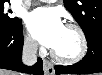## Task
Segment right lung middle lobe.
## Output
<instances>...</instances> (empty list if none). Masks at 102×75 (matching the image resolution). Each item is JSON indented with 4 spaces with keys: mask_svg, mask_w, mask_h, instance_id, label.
Here are the masks:
<instances>
[{
    "mask_svg": "<svg viewBox=\"0 0 102 75\" xmlns=\"http://www.w3.org/2000/svg\"><path fill=\"white\" fill-rule=\"evenodd\" d=\"M6 1H0V28H14L22 23V20L17 17H11V10L4 8Z\"/></svg>",
    "mask_w": 102,
    "mask_h": 75,
    "instance_id": "1",
    "label": "right lung middle lobe"
}]
</instances>
